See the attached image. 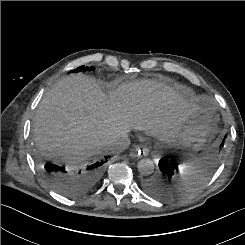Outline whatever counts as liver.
<instances>
[{
  "mask_svg": "<svg viewBox=\"0 0 245 245\" xmlns=\"http://www.w3.org/2000/svg\"><path fill=\"white\" fill-rule=\"evenodd\" d=\"M204 100L186 98L153 80L123 84L107 95L94 79L71 75L58 81L41 100L33 139L43 156L66 163L101 152L131 129L170 142L182 121Z\"/></svg>",
  "mask_w": 245,
  "mask_h": 245,
  "instance_id": "obj_1",
  "label": "liver"
}]
</instances>
